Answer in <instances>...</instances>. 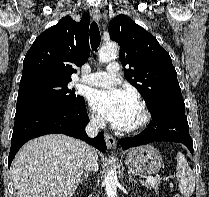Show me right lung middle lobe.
I'll return each mask as SVG.
<instances>
[{
  "label": "right lung middle lobe",
  "instance_id": "obj_1",
  "mask_svg": "<svg viewBox=\"0 0 209 197\" xmlns=\"http://www.w3.org/2000/svg\"><path fill=\"white\" fill-rule=\"evenodd\" d=\"M71 80H40L19 86L16 112L48 104H73L84 100L75 89L67 87Z\"/></svg>",
  "mask_w": 209,
  "mask_h": 197
}]
</instances>
